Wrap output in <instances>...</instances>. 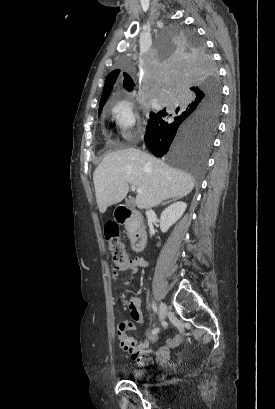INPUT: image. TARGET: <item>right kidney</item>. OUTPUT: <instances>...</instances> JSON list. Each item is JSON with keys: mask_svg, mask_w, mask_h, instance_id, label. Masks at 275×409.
<instances>
[{"mask_svg": "<svg viewBox=\"0 0 275 409\" xmlns=\"http://www.w3.org/2000/svg\"><path fill=\"white\" fill-rule=\"evenodd\" d=\"M186 202H173V205L167 207L163 213H161L160 217V229L162 233H166L168 229H170L171 225H174L180 217H182L184 211H186Z\"/></svg>", "mask_w": 275, "mask_h": 409, "instance_id": "obj_1", "label": "right kidney"}]
</instances>
